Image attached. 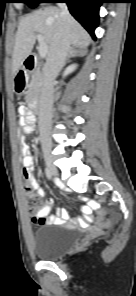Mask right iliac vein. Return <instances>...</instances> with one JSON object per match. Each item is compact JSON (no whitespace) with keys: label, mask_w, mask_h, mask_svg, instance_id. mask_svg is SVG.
I'll list each match as a JSON object with an SVG mask.
<instances>
[{"label":"right iliac vein","mask_w":136,"mask_h":296,"mask_svg":"<svg viewBox=\"0 0 136 296\" xmlns=\"http://www.w3.org/2000/svg\"><path fill=\"white\" fill-rule=\"evenodd\" d=\"M45 163L51 173V175L56 176L57 175V168L56 166L53 164L52 161V155L50 153H46L45 154Z\"/></svg>","instance_id":"1"}]
</instances>
